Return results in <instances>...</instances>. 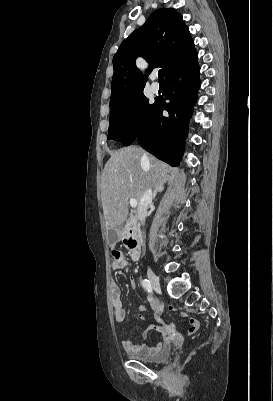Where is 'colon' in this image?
<instances>
[{"instance_id":"1","label":"colon","mask_w":273,"mask_h":401,"mask_svg":"<svg viewBox=\"0 0 273 401\" xmlns=\"http://www.w3.org/2000/svg\"><path fill=\"white\" fill-rule=\"evenodd\" d=\"M185 356H186L187 358H192V357L194 356V351H193L192 349H187V350L185 351Z\"/></svg>"}]
</instances>
